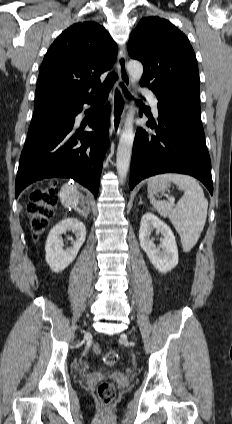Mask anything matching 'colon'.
<instances>
[{
    "label": "colon",
    "instance_id": "1",
    "mask_svg": "<svg viewBox=\"0 0 232 424\" xmlns=\"http://www.w3.org/2000/svg\"><path fill=\"white\" fill-rule=\"evenodd\" d=\"M57 201V192L53 188L36 189L29 194L27 211L30 218L31 228L37 236L48 226L53 216ZM118 360L117 351H109L104 356V362L108 366L114 365ZM98 396L105 405L109 404L116 395L115 386L110 382H102L98 385Z\"/></svg>",
    "mask_w": 232,
    "mask_h": 424
}]
</instances>
